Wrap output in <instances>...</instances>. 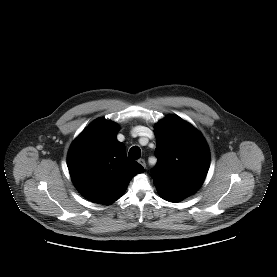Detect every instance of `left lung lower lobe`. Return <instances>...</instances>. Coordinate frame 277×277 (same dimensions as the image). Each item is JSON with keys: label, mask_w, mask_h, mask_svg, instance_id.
I'll use <instances>...</instances> for the list:
<instances>
[{"label": "left lung lower lobe", "mask_w": 277, "mask_h": 277, "mask_svg": "<svg viewBox=\"0 0 277 277\" xmlns=\"http://www.w3.org/2000/svg\"><path fill=\"white\" fill-rule=\"evenodd\" d=\"M161 197L169 202H178L181 201L183 198L180 197H176V196H171V195H167V194H162L160 193Z\"/></svg>", "instance_id": "left-lung-lower-lobe-1"}]
</instances>
